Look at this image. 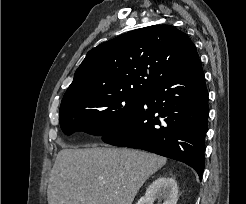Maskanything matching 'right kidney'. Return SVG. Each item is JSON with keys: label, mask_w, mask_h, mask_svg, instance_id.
Wrapping results in <instances>:
<instances>
[{"label": "right kidney", "mask_w": 246, "mask_h": 204, "mask_svg": "<svg viewBox=\"0 0 246 204\" xmlns=\"http://www.w3.org/2000/svg\"><path fill=\"white\" fill-rule=\"evenodd\" d=\"M156 199H162L163 204H177L178 186L173 178L162 176L155 179L136 204H154Z\"/></svg>", "instance_id": "right-kidney-1"}]
</instances>
